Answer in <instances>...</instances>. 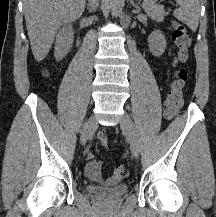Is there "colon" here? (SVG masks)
<instances>
[{"label": "colon", "mask_w": 216, "mask_h": 217, "mask_svg": "<svg viewBox=\"0 0 216 217\" xmlns=\"http://www.w3.org/2000/svg\"><path fill=\"white\" fill-rule=\"evenodd\" d=\"M172 38L177 48V56L180 62V67L177 69L176 76L171 82L170 89L167 95V118H173L183 104V89L187 78V71L183 67V64H185L189 58V48L191 45V37L188 29L182 24H173ZM97 138L101 143L107 144L109 141L108 132L105 129H100L97 133ZM124 174L125 170L123 166L118 165L115 167L113 177L116 180L122 179Z\"/></svg>", "instance_id": "5ec220e1"}]
</instances>
